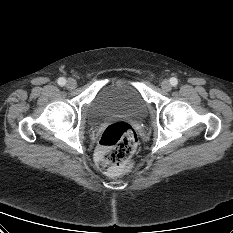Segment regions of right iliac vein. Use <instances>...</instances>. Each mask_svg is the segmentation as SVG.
I'll return each mask as SVG.
<instances>
[{"label":"right iliac vein","instance_id":"right-iliac-vein-1","mask_svg":"<svg viewBox=\"0 0 233 233\" xmlns=\"http://www.w3.org/2000/svg\"><path fill=\"white\" fill-rule=\"evenodd\" d=\"M77 82L73 78H69L66 83V87L70 90L76 88Z\"/></svg>","mask_w":233,"mask_h":233}]
</instances>
